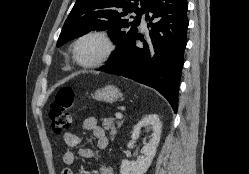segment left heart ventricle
<instances>
[{
	"mask_svg": "<svg viewBox=\"0 0 249 174\" xmlns=\"http://www.w3.org/2000/svg\"><path fill=\"white\" fill-rule=\"evenodd\" d=\"M104 51V42L97 37H90L79 44L77 53L82 62L89 63L100 58Z\"/></svg>",
	"mask_w": 249,
	"mask_h": 174,
	"instance_id": "obj_1",
	"label": "left heart ventricle"
}]
</instances>
